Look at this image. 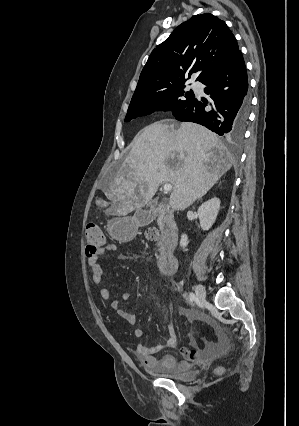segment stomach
<instances>
[{"mask_svg": "<svg viewBox=\"0 0 299 426\" xmlns=\"http://www.w3.org/2000/svg\"><path fill=\"white\" fill-rule=\"evenodd\" d=\"M107 230L113 238L128 240L134 235L135 226L133 221L119 217L113 218L108 222Z\"/></svg>", "mask_w": 299, "mask_h": 426, "instance_id": "1", "label": "stomach"}]
</instances>
